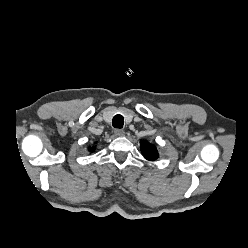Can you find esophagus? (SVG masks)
<instances>
[{
  "instance_id": "obj_1",
  "label": "esophagus",
  "mask_w": 248,
  "mask_h": 248,
  "mask_svg": "<svg viewBox=\"0 0 248 248\" xmlns=\"http://www.w3.org/2000/svg\"><path fill=\"white\" fill-rule=\"evenodd\" d=\"M115 136H124L125 132L122 129H116L114 131Z\"/></svg>"
}]
</instances>
